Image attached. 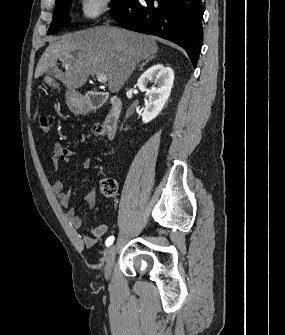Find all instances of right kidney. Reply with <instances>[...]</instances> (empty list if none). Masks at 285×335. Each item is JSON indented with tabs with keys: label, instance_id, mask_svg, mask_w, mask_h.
I'll list each match as a JSON object with an SVG mask.
<instances>
[{
	"label": "right kidney",
	"instance_id": "1",
	"mask_svg": "<svg viewBox=\"0 0 285 335\" xmlns=\"http://www.w3.org/2000/svg\"><path fill=\"white\" fill-rule=\"evenodd\" d=\"M149 82H155L158 84L157 88H151L147 90L146 86ZM174 82V72L172 68H165L163 64H155L151 66L149 70H146L142 76H140L137 86L140 92H146L149 96L148 104L145 106V110L142 114V122L148 124L151 120H154L166 104L171 88Z\"/></svg>",
	"mask_w": 285,
	"mask_h": 335
}]
</instances>
